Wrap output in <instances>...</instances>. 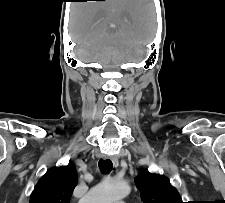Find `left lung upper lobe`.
<instances>
[{"label":"left lung upper lobe","mask_w":225,"mask_h":203,"mask_svg":"<svg viewBox=\"0 0 225 203\" xmlns=\"http://www.w3.org/2000/svg\"><path fill=\"white\" fill-rule=\"evenodd\" d=\"M143 203H183L177 190L169 180L144 169L135 179Z\"/></svg>","instance_id":"1"}]
</instances>
